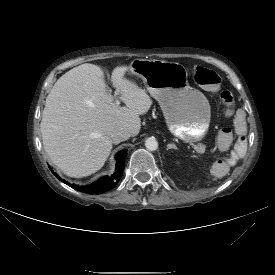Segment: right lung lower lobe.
Here are the masks:
<instances>
[{
	"label": "right lung lower lobe",
	"instance_id": "right-lung-lower-lobe-1",
	"mask_svg": "<svg viewBox=\"0 0 275 275\" xmlns=\"http://www.w3.org/2000/svg\"><path fill=\"white\" fill-rule=\"evenodd\" d=\"M127 155V150H122L116 155V172L109 176H105L103 178H100L99 180L93 182L92 184L88 186H79V185H71L65 180H62L49 166L52 173L61 181L68 184L70 187H72L75 190L87 193V194H101L108 190H111L114 188L117 184V182L120 180L123 169H124V161Z\"/></svg>",
	"mask_w": 275,
	"mask_h": 275
}]
</instances>
